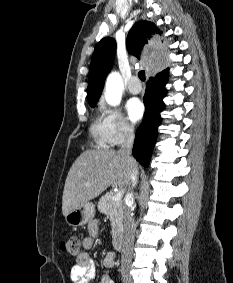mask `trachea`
<instances>
[{
	"label": "trachea",
	"instance_id": "obj_1",
	"mask_svg": "<svg viewBox=\"0 0 233 283\" xmlns=\"http://www.w3.org/2000/svg\"><path fill=\"white\" fill-rule=\"evenodd\" d=\"M138 76H139V78H140L142 81H145V72H144V71H140V72L138 73Z\"/></svg>",
	"mask_w": 233,
	"mask_h": 283
}]
</instances>
